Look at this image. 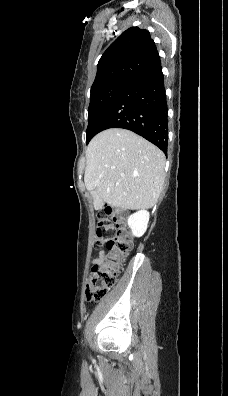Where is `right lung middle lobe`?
Masks as SVG:
<instances>
[{"label":"right lung middle lobe","mask_w":228,"mask_h":396,"mask_svg":"<svg viewBox=\"0 0 228 396\" xmlns=\"http://www.w3.org/2000/svg\"><path fill=\"white\" fill-rule=\"evenodd\" d=\"M129 85L124 82H113L91 89L90 105L88 108V127L86 130V141L88 142L96 135V124L104 112Z\"/></svg>","instance_id":"right-lung-middle-lobe-1"}]
</instances>
